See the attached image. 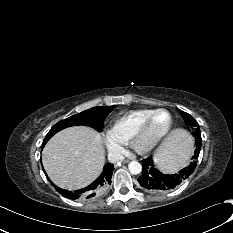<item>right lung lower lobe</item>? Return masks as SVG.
<instances>
[{
	"instance_id": "1",
	"label": "right lung lower lobe",
	"mask_w": 233,
	"mask_h": 233,
	"mask_svg": "<svg viewBox=\"0 0 233 233\" xmlns=\"http://www.w3.org/2000/svg\"><path fill=\"white\" fill-rule=\"evenodd\" d=\"M43 147L44 145L42 144V148ZM113 170H114L113 164H106L104 166V169L101 175L93 183H91L89 186L83 189L76 190V191H68V190L61 189L57 187L56 185H54L50 180L49 181L58 190V192L66 198L73 199V200L74 199H89L102 193L106 189V187L109 184H111V177H112Z\"/></svg>"
}]
</instances>
